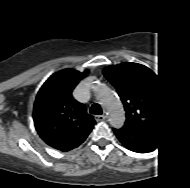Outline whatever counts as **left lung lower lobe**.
<instances>
[{"label":"left lung lower lobe","instance_id":"obj_1","mask_svg":"<svg viewBox=\"0 0 190 188\" xmlns=\"http://www.w3.org/2000/svg\"><path fill=\"white\" fill-rule=\"evenodd\" d=\"M122 144L132 151L145 152L157 146L165 131H151L125 124L120 129H113Z\"/></svg>","mask_w":190,"mask_h":188}]
</instances>
